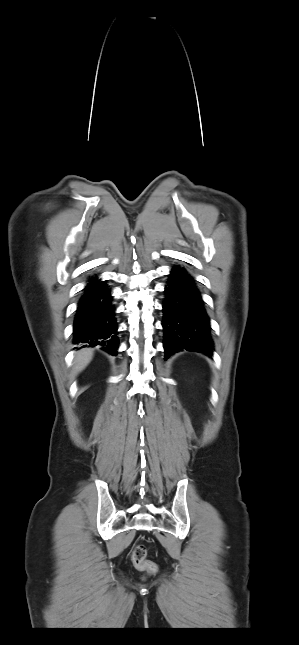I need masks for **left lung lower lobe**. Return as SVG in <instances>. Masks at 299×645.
<instances>
[{
  "label": "left lung lower lobe",
  "instance_id": "obj_1",
  "mask_svg": "<svg viewBox=\"0 0 299 645\" xmlns=\"http://www.w3.org/2000/svg\"><path fill=\"white\" fill-rule=\"evenodd\" d=\"M168 277L162 321L165 359L182 350L211 356L210 321L194 279L178 266Z\"/></svg>",
  "mask_w": 299,
  "mask_h": 645
}]
</instances>
